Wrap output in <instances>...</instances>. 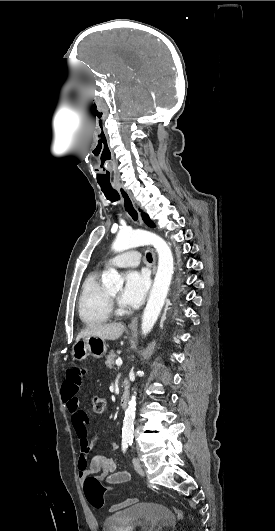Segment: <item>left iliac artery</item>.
I'll return each mask as SVG.
<instances>
[{
	"mask_svg": "<svg viewBox=\"0 0 275 531\" xmlns=\"http://www.w3.org/2000/svg\"><path fill=\"white\" fill-rule=\"evenodd\" d=\"M133 441L132 440H129V445H132Z\"/></svg>",
	"mask_w": 275,
	"mask_h": 531,
	"instance_id": "1",
	"label": "left iliac artery"
}]
</instances>
